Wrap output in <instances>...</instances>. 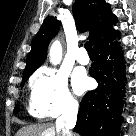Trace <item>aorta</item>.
Instances as JSON below:
<instances>
[{
  "instance_id": "1",
  "label": "aorta",
  "mask_w": 136,
  "mask_h": 136,
  "mask_svg": "<svg viewBox=\"0 0 136 136\" xmlns=\"http://www.w3.org/2000/svg\"><path fill=\"white\" fill-rule=\"evenodd\" d=\"M50 61L53 65H57L62 59V47L58 40L54 41L49 50Z\"/></svg>"
}]
</instances>
